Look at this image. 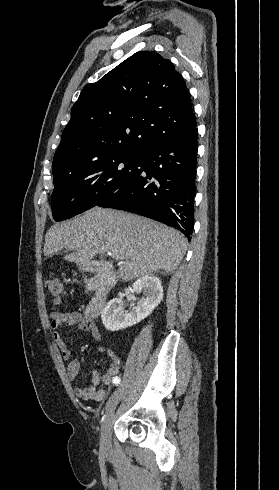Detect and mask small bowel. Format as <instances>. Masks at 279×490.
I'll return each mask as SVG.
<instances>
[{
    "instance_id": "1",
    "label": "small bowel",
    "mask_w": 279,
    "mask_h": 490,
    "mask_svg": "<svg viewBox=\"0 0 279 490\" xmlns=\"http://www.w3.org/2000/svg\"><path fill=\"white\" fill-rule=\"evenodd\" d=\"M49 322L53 332V339L56 341L61 356L65 360H70L72 356L71 349L63 341L58 329L60 327H71L77 325L81 330L88 332L95 340L101 339V334L97 326L83 313L78 311H53L49 314ZM99 352L110 359V365L107 371L100 376L98 371L94 370L91 374V383L89 386L78 385L75 388V395L84 400H93L101 402L107 397L110 387L115 383L119 373V358L113 350L105 346H99ZM80 373V362L70 360L68 363V377L75 380ZM103 383L106 388L98 389V385Z\"/></svg>"
}]
</instances>
